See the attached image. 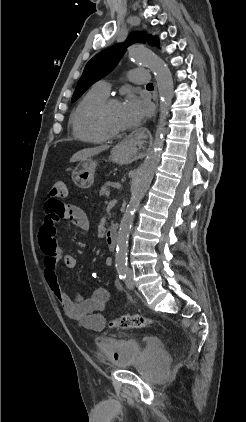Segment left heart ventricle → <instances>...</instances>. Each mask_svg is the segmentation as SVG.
I'll return each instance as SVG.
<instances>
[{
    "label": "left heart ventricle",
    "instance_id": "b2bd125f",
    "mask_svg": "<svg viewBox=\"0 0 246 422\" xmlns=\"http://www.w3.org/2000/svg\"><path fill=\"white\" fill-rule=\"evenodd\" d=\"M106 121L110 128L114 130H123L121 118V105H112L106 111Z\"/></svg>",
    "mask_w": 246,
    "mask_h": 422
}]
</instances>
